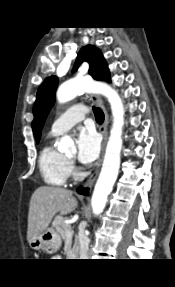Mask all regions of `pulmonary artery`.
<instances>
[{
  "label": "pulmonary artery",
  "instance_id": "obj_1",
  "mask_svg": "<svg viewBox=\"0 0 175 287\" xmlns=\"http://www.w3.org/2000/svg\"><path fill=\"white\" fill-rule=\"evenodd\" d=\"M88 113L87 108L80 104H75L61 114L52 124L51 133L60 135L67 132L75 124L83 121Z\"/></svg>",
  "mask_w": 175,
  "mask_h": 287
}]
</instances>
